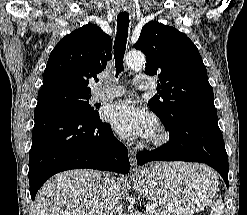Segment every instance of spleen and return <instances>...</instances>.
I'll return each mask as SVG.
<instances>
[{
  "mask_svg": "<svg viewBox=\"0 0 247 215\" xmlns=\"http://www.w3.org/2000/svg\"><path fill=\"white\" fill-rule=\"evenodd\" d=\"M224 212V204L221 200H217L212 205L211 215H223Z\"/></svg>",
  "mask_w": 247,
  "mask_h": 215,
  "instance_id": "obj_1",
  "label": "spleen"
}]
</instances>
